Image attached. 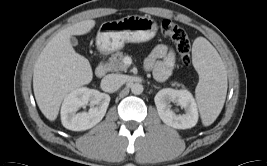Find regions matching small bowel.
I'll use <instances>...</instances> for the list:
<instances>
[{
  "label": "small bowel",
  "mask_w": 267,
  "mask_h": 166,
  "mask_svg": "<svg viewBox=\"0 0 267 166\" xmlns=\"http://www.w3.org/2000/svg\"><path fill=\"white\" fill-rule=\"evenodd\" d=\"M175 64V54L166 45H157L147 57L144 67L151 71L158 81L166 80Z\"/></svg>",
  "instance_id": "1"
}]
</instances>
